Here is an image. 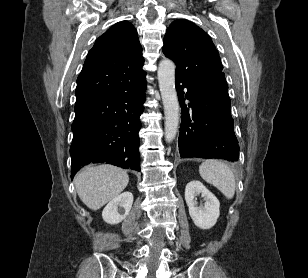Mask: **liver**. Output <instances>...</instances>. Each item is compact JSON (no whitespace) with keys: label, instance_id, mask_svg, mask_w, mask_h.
<instances>
[{"label":"liver","instance_id":"6515ba94","mask_svg":"<svg viewBox=\"0 0 308 278\" xmlns=\"http://www.w3.org/2000/svg\"><path fill=\"white\" fill-rule=\"evenodd\" d=\"M126 171L108 164L87 166L74 179L79 198L92 210H98L126 188Z\"/></svg>","mask_w":308,"mask_h":278}]
</instances>
